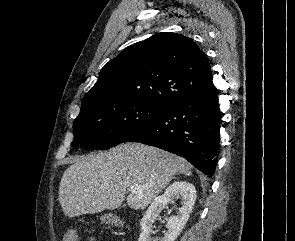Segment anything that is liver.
<instances>
[{
	"instance_id": "1",
	"label": "liver",
	"mask_w": 295,
	"mask_h": 241,
	"mask_svg": "<svg viewBox=\"0 0 295 241\" xmlns=\"http://www.w3.org/2000/svg\"><path fill=\"white\" fill-rule=\"evenodd\" d=\"M192 165L180 156L139 143L118 145L108 152L77 157L64 172L59 203L75 217L118 208L132 185L144 187L127 197L134 209L146 208L176 174H191Z\"/></svg>"
}]
</instances>
